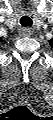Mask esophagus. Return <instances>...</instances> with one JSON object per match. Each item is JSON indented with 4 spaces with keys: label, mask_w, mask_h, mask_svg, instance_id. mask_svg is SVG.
<instances>
[{
    "label": "esophagus",
    "mask_w": 53,
    "mask_h": 120,
    "mask_svg": "<svg viewBox=\"0 0 53 120\" xmlns=\"http://www.w3.org/2000/svg\"><path fill=\"white\" fill-rule=\"evenodd\" d=\"M32 34V30L28 27H25L21 30L22 36H30Z\"/></svg>",
    "instance_id": "1"
}]
</instances>
